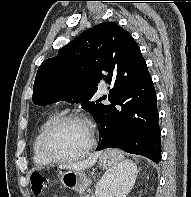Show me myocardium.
Here are the masks:
<instances>
[{
	"label": "myocardium",
	"instance_id": "obj_1",
	"mask_svg": "<svg viewBox=\"0 0 191 197\" xmlns=\"http://www.w3.org/2000/svg\"><path fill=\"white\" fill-rule=\"evenodd\" d=\"M67 121H77L89 129L90 132V140L88 145L85 147L83 151L73 156H61L54 153L49 146V137L53 130L58 127L60 124ZM96 134L93 127L89 124L87 120H85L82 116L78 114H63L56 116L43 130L40 138V149L45 158L50 160L53 163H69L72 161L79 160L89 154L96 146Z\"/></svg>",
	"mask_w": 191,
	"mask_h": 197
}]
</instances>
